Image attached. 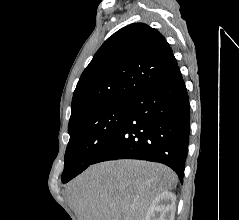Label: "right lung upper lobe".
Listing matches in <instances>:
<instances>
[{
  "label": "right lung upper lobe",
  "instance_id": "cb5924a9",
  "mask_svg": "<svg viewBox=\"0 0 239 220\" xmlns=\"http://www.w3.org/2000/svg\"><path fill=\"white\" fill-rule=\"evenodd\" d=\"M177 66L165 38L137 23L109 37L82 73L73 94L70 123L91 112L129 104Z\"/></svg>",
  "mask_w": 239,
  "mask_h": 220
}]
</instances>
